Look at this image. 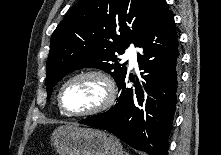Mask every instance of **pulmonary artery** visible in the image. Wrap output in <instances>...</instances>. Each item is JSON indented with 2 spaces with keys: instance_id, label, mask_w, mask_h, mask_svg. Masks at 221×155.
<instances>
[{
  "instance_id": "e3ab8cb5",
  "label": "pulmonary artery",
  "mask_w": 221,
  "mask_h": 155,
  "mask_svg": "<svg viewBox=\"0 0 221 155\" xmlns=\"http://www.w3.org/2000/svg\"><path fill=\"white\" fill-rule=\"evenodd\" d=\"M123 57L129 60L131 67L137 66V53L135 48L133 47L128 48Z\"/></svg>"
}]
</instances>
